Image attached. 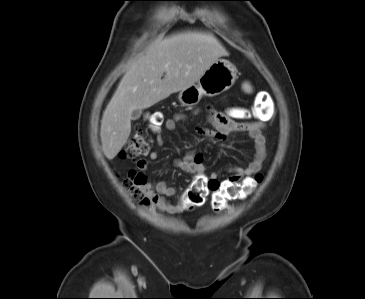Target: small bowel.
I'll list each match as a JSON object with an SVG mask.
<instances>
[{"instance_id": "obj_1", "label": "small bowel", "mask_w": 365, "mask_h": 299, "mask_svg": "<svg viewBox=\"0 0 365 299\" xmlns=\"http://www.w3.org/2000/svg\"><path fill=\"white\" fill-rule=\"evenodd\" d=\"M185 119L186 116L183 114H177L174 117L166 119L163 128L157 131L158 145H163L162 135L164 131L175 130L177 123ZM208 121L211 128L197 127V133L202 137L224 140L232 133L246 132L253 141L254 154L252 160L246 167L233 169L231 174L222 183L239 181L243 177L252 176L262 169L267 157L266 141L262 134L265 122L262 119L235 121L223 116L217 111L209 110ZM148 156L153 161L159 159V153L157 151H151ZM137 165L142 171L147 169V162L145 160H140ZM174 165L181 170L195 174L199 183H220V178L217 173H212L211 175L206 174L203 165V156L199 153L187 154L183 158L177 159ZM145 192L150 197L152 205L159 211L169 213H177L180 211V206L173 205L165 199V197H170L175 194V189L167 182L157 181L152 185H146Z\"/></svg>"}]
</instances>
